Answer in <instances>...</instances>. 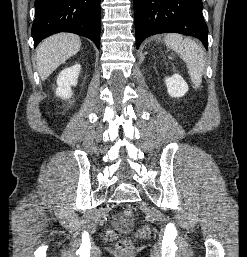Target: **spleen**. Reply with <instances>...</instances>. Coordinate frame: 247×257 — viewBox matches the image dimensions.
Returning a JSON list of instances; mask_svg holds the SVG:
<instances>
[{
	"instance_id": "3e777b00",
	"label": "spleen",
	"mask_w": 247,
	"mask_h": 257,
	"mask_svg": "<svg viewBox=\"0 0 247 257\" xmlns=\"http://www.w3.org/2000/svg\"><path fill=\"white\" fill-rule=\"evenodd\" d=\"M165 44L176 51L187 65L188 73L195 87L202 82L205 69V61L201 47L192 39L185 38L179 34H168L164 38Z\"/></svg>"
}]
</instances>
